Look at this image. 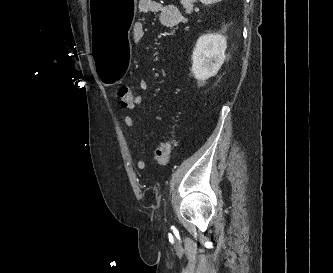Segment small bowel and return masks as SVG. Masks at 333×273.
Instances as JSON below:
<instances>
[{
  "label": "small bowel",
  "mask_w": 333,
  "mask_h": 273,
  "mask_svg": "<svg viewBox=\"0 0 333 273\" xmlns=\"http://www.w3.org/2000/svg\"><path fill=\"white\" fill-rule=\"evenodd\" d=\"M138 11L141 14H157L159 17V22L162 26L168 28H174L182 25L184 23V15L181 10L175 5H164L157 0H139L138 1ZM145 37V25L141 21H137L132 27V39L136 45H139ZM149 88L148 82L142 79L139 82V89L141 92H146ZM128 94H134L135 108L140 106L143 102V96L140 94H135L131 90ZM122 106V105H121ZM134 108V109H135ZM134 109H125L126 111H133ZM123 122L128 132L129 138L133 137L135 120L133 117L126 113L123 117ZM135 166L138 170H144L146 168V163L141 158L135 159Z\"/></svg>",
  "instance_id": "1"
}]
</instances>
